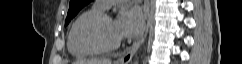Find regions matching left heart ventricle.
Here are the masks:
<instances>
[{
	"label": "left heart ventricle",
	"instance_id": "left-heart-ventricle-1",
	"mask_svg": "<svg viewBox=\"0 0 242 64\" xmlns=\"http://www.w3.org/2000/svg\"><path fill=\"white\" fill-rule=\"evenodd\" d=\"M97 36L105 44H112L119 39L115 33L114 20L111 17L103 21L97 31Z\"/></svg>",
	"mask_w": 242,
	"mask_h": 64
}]
</instances>
